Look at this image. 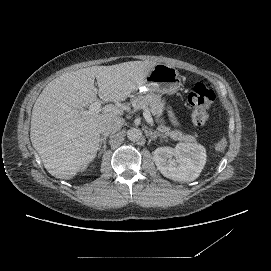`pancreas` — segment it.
<instances>
[{
	"mask_svg": "<svg viewBox=\"0 0 271 271\" xmlns=\"http://www.w3.org/2000/svg\"><path fill=\"white\" fill-rule=\"evenodd\" d=\"M133 108L144 109V106H148V111L155 116L160 118L161 123L159 131L163 133V137H170L173 140L183 141L188 143H198V135L187 134L180 129H171L164 122L165 111L167 109V102L160 95L154 93H147L144 95H139L132 100Z\"/></svg>",
	"mask_w": 271,
	"mask_h": 271,
	"instance_id": "pancreas-1",
	"label": "pancreas"
}]
</instances>
